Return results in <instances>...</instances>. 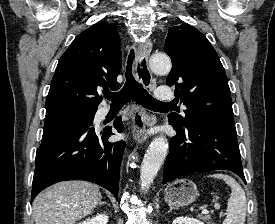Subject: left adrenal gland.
<instances>
[{
	"label": "left adrenal gland",
	"mask_w": 275,
	"mask_h": 224,
	"mask_svg": "<svg viewBox=\"0 0 275 224\" xmlns=\"http://www.w3.org/2000/svg\"><path fill=\"white\" fill-rule=\"evenodd\" d=\"M173 209H175L174 207L170 206V209L168 212H171Z\"/></svg>",
	"instance_id": "obj_1"
}]
</instances>
